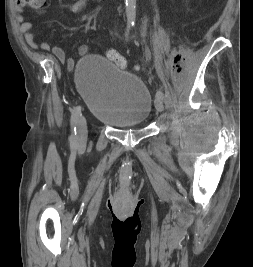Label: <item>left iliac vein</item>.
I'll use <instances>...</instances> for the list:
<instances>
[{
  "label": "left iliac vein",
  "mask_w": 253,
  "mask_h": 267,
  "mask_svg": "<svg viewBox=\"0 0 253 267\" xmlns=\"http://www.w3.org/2000/svg\"><path fill=\"white\" fill-rule=\"evenodd\" d=\"M163 97L162 96H159L158 98H156L155 100V107H156V110L158 112H162L163 109H164V106H163Z\"/></svg>",
  "instance_id": "4c4485c4"
}]
</instances>
